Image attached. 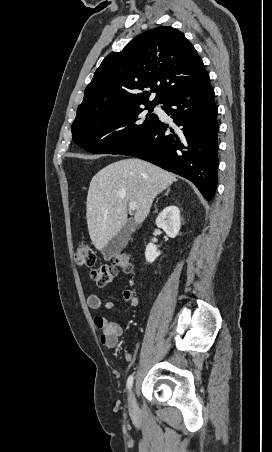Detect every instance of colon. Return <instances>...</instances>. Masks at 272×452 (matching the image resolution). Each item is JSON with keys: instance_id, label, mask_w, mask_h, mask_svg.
I'll return each instance as SVG.
<instances>
[{"instance_id": "colon-1", "label": "colon", "mask_w": 272, "mask_h": 452, "mask_svg": "<svg viewBox=\"0 0 272 452\" xmlns=\"http://www.w3.org/2000/svg\"><path fill=\"white\" fill-rule=\"evenodd\" d=\"M74 259L77 266L92 268L91 277L101 287L111 284L119 270L124 272L132 270L131 255L128 252L113 255L109 264L96 266V254L86 242L77 244Z\"/></svg>"}]
</instances>
